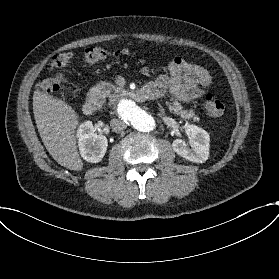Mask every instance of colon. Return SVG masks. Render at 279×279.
I'll return each instance as SVG.
<instances>
[{
	"label": "colon",
	"instance_id": "1",
	"mask_svg": "<svg viewBox=\"0 0 279 279\" xmlns=\"http://www.w3.org/2000/svg\"><path fill=\"white\" fill-rule=\"evenodd\" d=\"M121 53L128 54V50L124 47H114L113 45H99L90 47L83 54V63L91 65L98 61L106 59L108 56ZM72 59V52L69 50L60 51L55 54L49 61L47 68L52 73H58L65 68ZM61 78L59 75L44 80L41 88L44 92L50 93L59 89ZM203 106L208 115L213 117L222 116L224 113V105L221 101L210 94L203 97Z\"/></svg>",
	"mask_w": 279,
	"mask_h": 279
}]
</instances>
